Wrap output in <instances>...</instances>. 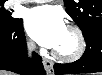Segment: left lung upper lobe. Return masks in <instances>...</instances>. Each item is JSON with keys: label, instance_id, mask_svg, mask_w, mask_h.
Instances as JSON below:
<instances>
[{"label": "left lung upper lobe", "instance_id": "1", "mask_svg": "<svg viewBox=\"0 0 102 75\" xmlns=\"http://www.w3.org/2000/svg\"><path fill=\"white\" fill-rule=\"evenodd\" d=\"M64 5L82 32L102 28V0H64Z\"/></svg>", "mask_w": 102, "mask_h": 75}]
</instances>
